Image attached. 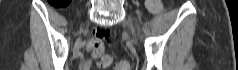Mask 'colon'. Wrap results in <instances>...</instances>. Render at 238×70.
Instances as JSON below:
<instances>
[{
  "mask_svg": "<svg viewBox=\"0 0 238 70\" xmlns=\"http://www.w3.org/2000/svg\"><path fill=\"white\" fill-rule=\"evenodd\" d=\"M69 0H54V4L58 7H63L67 5ZM148 9L151 12L157 13L161 10L160 0H147L146 2ZM112 37V32L105 28H98L94 31V36L89 43V49L96 55L101 56L102 59L99 63L100 67L105 68L109 66L111 60L108 56L103 55L104 42L110 41ZM115 70H128V63L124 60L119 61L114 64Z\"/></svg>",
  "mask_w": 238,
  "mask_h": 70,
  "instance_id": "5ec220e1",
  "label": "colon"
}]
</instances>
